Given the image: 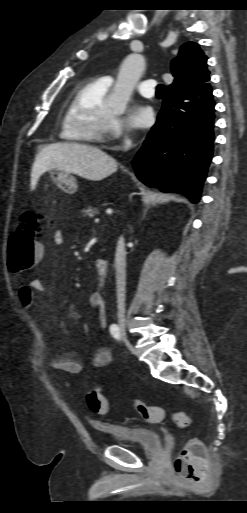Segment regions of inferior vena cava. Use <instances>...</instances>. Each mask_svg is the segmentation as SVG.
<instances>
[{
	"mask_svg": "<svg viewBox=\"0 0 247 513\" xmlns=\"http://www.w3.org/2000/svg\"><path fill=\"white\" fill-rule=\"evenodd\" d=\"M132 145V141L126 137L124 140V149L128 150ZM116 267V288H117V309L118 316L121 317L125 313V267H126V250L124 239L120 238L117 243L115 254Z\"/></svg>",
	"mask_w": 247,
	"mask_h": 513,
	"instance_id": "602c4592",
	"label": "inferior vena cava"
}]
</instances>
